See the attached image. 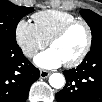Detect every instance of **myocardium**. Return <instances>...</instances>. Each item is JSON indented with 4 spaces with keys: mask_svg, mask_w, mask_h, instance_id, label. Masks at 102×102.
I'll use <instances>...</instances> for the list:
<instances>
[{
    "mask_svg": "<svg viewBox=\"0 0 102 102\" xmlns=\"http://www.w3.org/2000/svg\"><path fill=\"white\" fill-rule=\"evenodd\" d=\"M77 25H82L86 29L87 41H86V44H85L83 51L76 59H74L73 61L64 63V66L69 67V68L76 67L79 64H81L85 60V58L87 57V55L90 51L91 44H92V30H91L89 24L84 20H80V19L74 20V21L66 24L57 33H55L48 42L49 47H51L53 43L62 39L72 28H74Z\"/></svg>",
    "mask_w": 102,
    "mask_h": 102,
    "instance_id": "1",
    "label": "myocardium"
}]
</instances>
